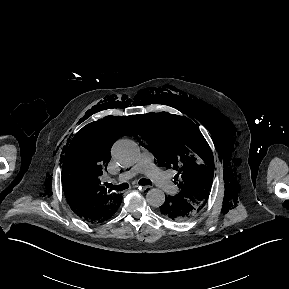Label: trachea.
Segmentation results:
<instances>
[{
    "instance_id": "1",
    "label": "trachea",
    "mask_w": 289,
    "mask_h": 289,
    "mask_svg": "<svg viewBox=\"0 0 289 289\" xmlns=\"http://www.w3.org/2000/svg\"><path fill=\"white\" fill-rule=\"evenodd\" d=\"M139 184L145 186V185H151L152 182L148 179H140ZM106 186L110 189H115L117 191H122V190H125L129 187V185L127 183H122V184L117 185V186L112 185V184H106Z\"/></svg>"
}]
</instances>
